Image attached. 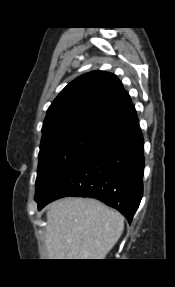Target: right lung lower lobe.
<instances>
[{
  "label": "right lung lower lobe",
  "instance_id": "obj_1",
  "mask_svg": "<svg viewBox=\"0 0 175 287\" xmlns=\"http://www.w3.org/2000/svg\"><path fill=\"white\" fill-rule=\"evenodd\" d=\"M144 142L137 114L120 121L40 196L38 208L65 196L92 197L131 222L143 195Z\"/></svg>",
  "mask_w": 175,
  "mask_h": 287
}]
</instances>
